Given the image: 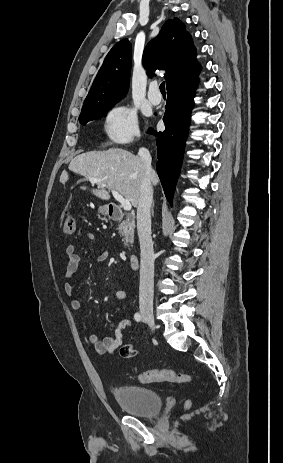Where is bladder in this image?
<instances>
[{
  "mask_svg": "<svg viewBox=\"0 0 283 463\" xmlns=\"http://www.w3.org/2000/svg\"><path fill=\"white\" fill-rule=\"evenodd\" d=\"M119 406L128 414L141 418H153L162 410L160 395L137 386H119L113 389Z\"/></svg>",
  "mask_w": 283,
  "mask_h": 463,
  "instance_id": "1",
  "label": "bladder"
}]
</instances>
